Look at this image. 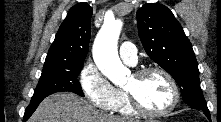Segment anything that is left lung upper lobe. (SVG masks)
Instances as JSON below:
<instances>
[{
    "label": "left lung upper lobe",
    "mask_w": 221,
    "mask_h": 122,
    "mask_svg": "<svg viewBox=\"0 0 221 122\" xmlns=\"http://www.w3.org/2000/svg\"><path fill=\"white\" fill-rule=\"evenodd\" d=\"M137 22L146 53L175 79L183 101L189 106L206 104L192 45L171 10L147 3L137 11Z\"/></svg>",
    "instance_id": "5c2ea615"
}]
</instances>
